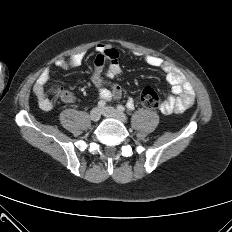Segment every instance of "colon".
Returning <instances> with one entry per match:
<instances>
[{"label":"colon","mask_w":232,"mask_h":232,"mask_svg":"<svg viewBox=\"0 0 232 232\" xmlns=\"http://www.w3.org/2000/svg\"><path fill=\"white\" fill-rule=\"evenodd\" d=\"M54 92H60L58 87L53 88ZM63 92H61L62 94ZM141 102L142 104L149 109H160L161 107V98L159 94L151 87H145L141 93Z\"/></svg>","instance_id":"colon-1"}]
</instances>
